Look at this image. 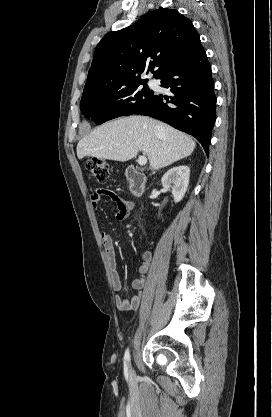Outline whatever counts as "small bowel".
Listing matches in <instances>:
<instances>
[{
	"label": "small bowel",
	"mask_w": 272,
	"mask_h": 417,
	"mask_svg": "<svg viewBox=\"0 0 272 417\" xmlns=\"http://www.w3.org/2000/svg\"><path fill=\"white\" fill-rule=\"evenodd\" d=\"M106 196L110 198L116 204L115 217L117 220H124L127 218L130 210L134 207V204L130 201L124 200L115 192L97 188L90 196V201L94 208H97L101 197ZM102 244L108 260L109 267L111 269V284L114 291H120L122 289V282L120 274L117 270L116 251L113 239L107 233L102 234ZM151 263L150 252H145L143 255V263L139 268L140 276L132 281V287L137 291L135 295L130 298H125L121 295L115 296V304L119 310L129 311L139 307L143 297V290L146 282V274L148 272Z\"/></svg>",
	"instance_id": "c3829d8e"
}]
</instances>
